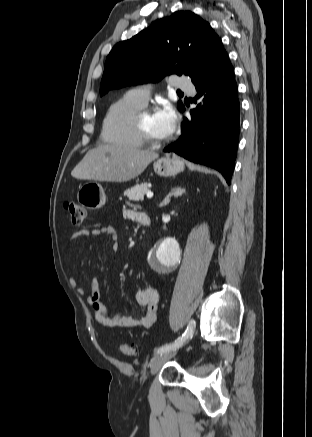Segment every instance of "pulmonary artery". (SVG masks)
Instances as JSON below:
<instances>
[{
  "label": "pulmonary artery",
  "instance_id": "1",
  "mask_svg": "<svg viewBox=\"0 0 312 437\" xmlns=\"http://www.w3.org/2000/svg\"><path fill=\"white\" fill-rule=\"evenodd\" d=\"M172 85L179 89L194 91L193 85L184 77H175L172 79ZM130 95L142 104H146L149 99V88L146 86L136 88L130 92Z\"/></svg>",
  "mask_w": 312,
  "mask_h": 437
}]
</instances>
